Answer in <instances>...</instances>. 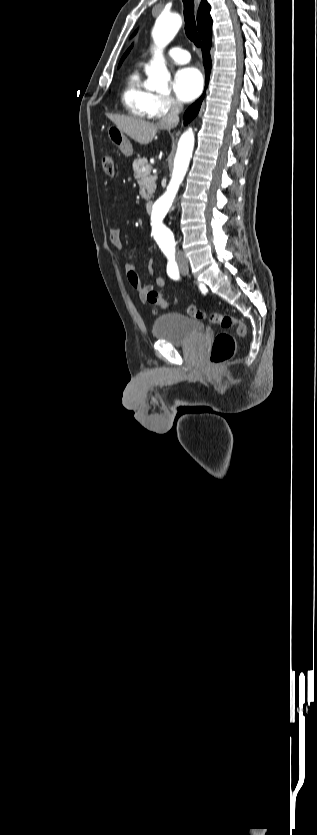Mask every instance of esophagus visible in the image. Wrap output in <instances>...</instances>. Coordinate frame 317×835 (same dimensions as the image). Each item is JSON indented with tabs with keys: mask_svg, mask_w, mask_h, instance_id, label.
Segmentation results:
<instances>
[{
	"mask_svg": "<svg viewBox=\"0 0 317 835\" xmlns=\"http://www.w3.org/2000/svg\"><path fill=\"white\" fill-rule=\"evenodd\" d=\"M195 1H196V5L198 6L201 0H195Z\"/></svg>",
	"mask_w": 317,
	"mask_h": 835,
	"instance_id": "obj_1",
	"label": "esophagus"
}]
</instances>
